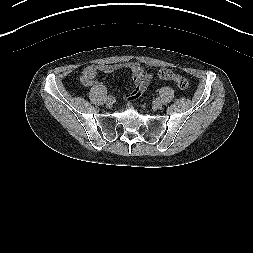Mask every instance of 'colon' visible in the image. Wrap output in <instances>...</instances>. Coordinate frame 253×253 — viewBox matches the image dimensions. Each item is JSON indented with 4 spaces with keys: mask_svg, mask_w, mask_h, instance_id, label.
Wrapping results in <instances>:
<instances>
[{
    "mask_svg": "<svg viewBox=\"0 0 253 253\" xmlns=\"http://www.w3.org/2000/svg\"><path fill=\"white\" fill-rule=\"evenodd\" d=\"M157 74L161 79L174 81L180 89H186L189 86L187 78L169 69H161ZM134 84V89L126 95L127 100L130 102L137 100L143 95L147 87V81L143 78H136Z\"/></svg>",
    "mask_w": 253,
    "mask_h": 253,
    "instance_id": "5ec220e1",
    "label": "colon"
}]
</instances>
